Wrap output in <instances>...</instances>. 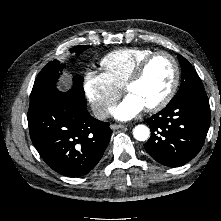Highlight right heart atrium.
<instances>
[{
    "mask_svg": "<svg viewBox=\"0 0 221 221\" xmlns=\"http://www.w3.org/2000/svg\"><path fill=\"white\" fill-rule=\"evenodd\" d=\"M83 88L98 118L106 117L120 96V87L104 72L87 71L84 75Z\"/></svg>",
    "mask_w": 221,
    "mask_h": 221,
    "instance_id": "d8ad5b80",
    "label": "right heart atrium"
}]
</instances>
